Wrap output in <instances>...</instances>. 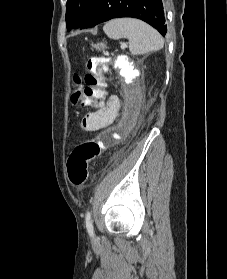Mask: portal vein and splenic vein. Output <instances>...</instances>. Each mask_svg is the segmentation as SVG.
Returning <instances> with one entry per match:
<instances>
[{"instance_id":"obj_1","label":"portal vein and splenic vein","mask_w":227,"mask_h":279,"mask_svg":"<svg viewBox=\"0 0 227 279\" xmlns=\"http://www.w3.org/2000/svg\"><path fill=\"white\" fill-rule=\"evenodd\" d=\"M127 47V45L125 44L124 46H123V48H126Z\"/></svg>"}]
</instances>
